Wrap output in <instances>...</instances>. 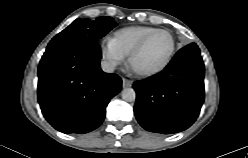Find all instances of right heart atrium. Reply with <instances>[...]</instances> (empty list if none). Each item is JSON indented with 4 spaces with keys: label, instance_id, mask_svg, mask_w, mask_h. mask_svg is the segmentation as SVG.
Instances as JSON below:
<instances>
[{
    "label": "right heart atrium",
    "instance_id": "d8ad5b80",
    "mask_svg": "<svg viewBox=\"0 0 248 158\" xmlns=\"http://www.w3.org/2000/svg\"><path fill=\"white\" fill-rule=\"evenodd\" d=\"M99 48L107 68L114 69L125 61V55L118 49L112 39H103Z\"/></svg>",
    "mask_w": 248,
    "mask_h": 158
}]
</instances>
